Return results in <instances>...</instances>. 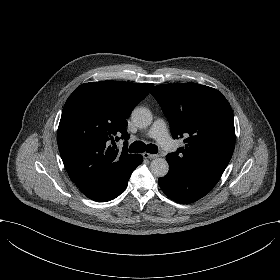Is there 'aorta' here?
Wrapping results in <instances>:
<instances>
[{"label":"aorta","mask_w":280,"mask_h":280,"mask_svg":"<svg viewBox=\"0 0 280 280\" xmlns=\"http://www.w3.org/2000/svg\"><path fill=\"white\" fill-rule=\"evenodd\" d=\"M132 121L139 128H145L152 123V113L145 107H136L131 114ZM151 173L156 177H164L169 171V165L164 158H155L150 164Z\"/></svg>","instance_id":"1"}]
</instances>
